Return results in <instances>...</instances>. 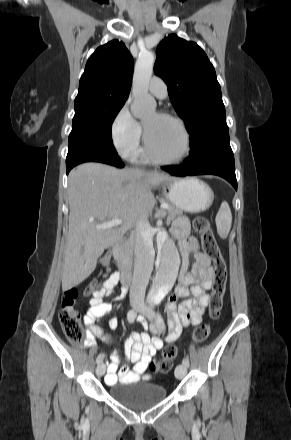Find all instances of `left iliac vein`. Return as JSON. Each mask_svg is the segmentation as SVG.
Masks as SVG:
<instances>
[{
	"mask_svg": "<svg viewBox=\"0 0 291 440\" xmlns=\"http://www.w3.org/2000/svg\"><path fill=\"white\" fill-rule=\"evenodd\" d=\"M138 312L145 316L148 320L153 321L156 318L155 312L146 305L138 308ZM187 373V366L180 364L175 369V376L177 379H182Z\"/></svg>",
	"mask_w": 291,
	"mask_h": 440,
	"instance_id": "obj_1",
	"label": "left iliac vein"
}]
</instances>
